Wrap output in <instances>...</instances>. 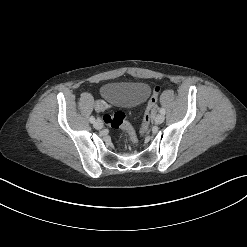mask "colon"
Returning <instances> with one entry per match:
<instances>
[{"mask_svg": "<svg viewBox=\"0 0 247 247\" xmlns=\"http://www.w3.org/2000/svg\"><path fill=\"white\" fill-rule=\"evenodd\" d=\"M159 91H160V88L158 86H155L152 89V94L147 104L146 111H145L144 122L140 128V134H145L148 130L151 112L154 110L156 106ZM103 119H104L105 124L109 127L116 128V129L118 128L124 129L132 144H135L137 142V139H138L137 133L132 128V126L126 121L125 114L123 112H115L113 114H106Z\"/></svg>", "mask_w": 247, "mask_h": 247, "instance_id": "colon-1", "label": "colon"}]
</instances>
